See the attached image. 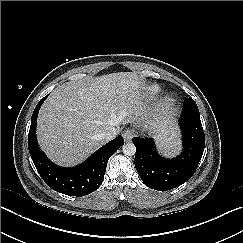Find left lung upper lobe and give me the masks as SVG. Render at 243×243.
<instances>
[{"label":"left lung upper lobe","instance_id":"1","mask_svg":"<svg viewBox=\"0 0 243 243\" xmlns=\"http://www.w3.org/2000/svg\"><path fill=\"white\" fill-rule=\"evenodd\" d=\"M191 101V102H189ZM185 102H188V103H192V102H195L192 98H189V99H186Z\"/></svg>","mask_w":243,"mask_h":243}]
</instances>
